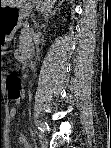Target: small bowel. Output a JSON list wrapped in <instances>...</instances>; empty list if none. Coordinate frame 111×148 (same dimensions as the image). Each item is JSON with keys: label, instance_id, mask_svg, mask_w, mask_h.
<instances>
[{"label": "small bowel", "instance_id": "1", "mask_svg": "<svg viewBox=\"0 0 111 148\" xmlns=\"http://www.w3.org/2000/svg\"><path fill=\"white\" fill-rule=\"evenodd\" d=\"M15 114H16V111L14 109H11L10 110V116L14 117ZM18 140H19V143H20L21 147H23V148H31V145L28 143V141L26 140V138L23 135L19 136ZM6 147L8 148L9 145L6 144Z\"/></svg>", "mask_w": 111, "mask_h": 148}]
</instances>
